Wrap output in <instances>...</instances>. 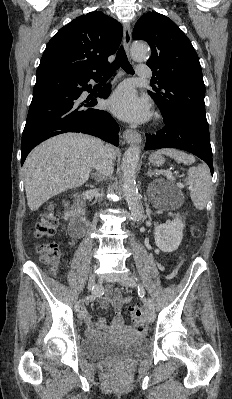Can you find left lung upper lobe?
Instances as JSON below:
<instances>
[{"label": "left lung upper lobe", "instance_id": "left-lung-upper-lobe-1", "mask_svg": "<svg viewBox=\"0 0 232 399\" xmlns=\"http://www.w3.org/2000/svg\"><path fill=\"white\" fill-rule=\"evenodd\" d=\"M134 40H145L152 55L149 95L167 118H180L209 134L205 114V85L198 55L188 37L168 17L157 12L141 16L133 30Z\"/></svg>", "mask_w": 232, "mask_h": 399}]
</instances>
